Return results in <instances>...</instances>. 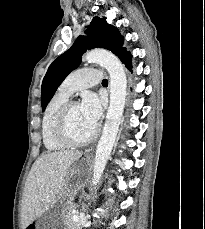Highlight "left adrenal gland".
<instances>
[{
    "mask_svg": "<svg viewBox=\"0 0 205 229\" xmlns=\"http://www.w3.org/2000/svg\"><path fill=\"white\" fill-rule=\"evenodd\" d=\"M85 207H86V206H83V211H84V212L86 211Z\"/></svg>",
    "mask_w": 205,
    "mask_h": 229,
    "instance_id": "obj_1",
    "label": "left adrenal gland"
}]
</instances>
